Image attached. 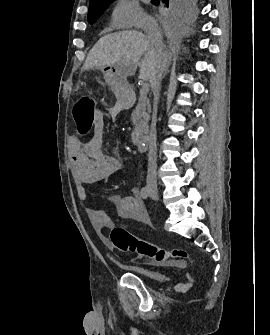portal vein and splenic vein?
Returning a JSON list of instances; mask_svg holds the SVG:
<instances>
[{
	"instance_id": "portal-vein-and-splenic-vein-1",
	"label": "portal vein and splenic vein",
	"mask_w": 270,
	"mask_h": 335,
	"mask_svg": "<svg viewBox=\"0 0 270 335\" xmlns=\"http://www.w3.org/2000/svg\"><path fill=\"white\" fill-rule=\"evenodd\" d=\"M141 91H142V93H149L150 88H149V86H142Z\"/></svg>"
}]
</instances>
